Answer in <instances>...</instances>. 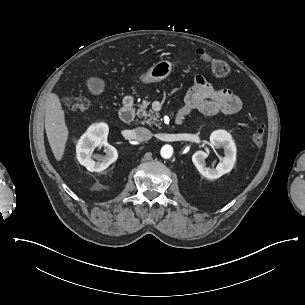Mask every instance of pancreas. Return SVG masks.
I'll return each instance as SVG.
<instances>
[{
  "instance_id": "cf45deb5",
  "label": "pancreas",
  "mask_w": 305,
  "mask_h": 305,
  "mask_svg": "<svg viewBox=\"0 0 305 305\" xmlns=\"http://www.w3.org/2000/svg\"><path fill=\"white\" fill-rule=\"evenodd\" d=\"M149 99V97H146V99L142 101V104L139 106L136 115L138 118L143 119L141 121L143 124L156 125L158 122L159 114L154 113L151 110L147 112V106L150 104Z\"/></svg>"
}]
</instances>
